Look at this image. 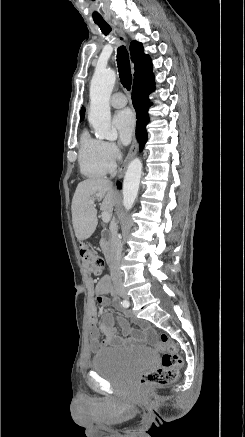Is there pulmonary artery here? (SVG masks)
Listing matches in <instances>:
<instances>
[{
    "instance_id": "obj_1",
    "label": "pulmonary artery",
    "mask_w": 245,
    "mask_h": 437,
    "mask_svg": "<svg viewBox=\"0 0 245 437\" xmlns=\"http://www.w3.org/2000/svg\"><path fill=\"white\" fill-rule=\"evenodd\" d=\"M110 103L114 108H122L127 104V98L123 93L117 92L112 95Z\"/></svg>"
}]
</instances>
